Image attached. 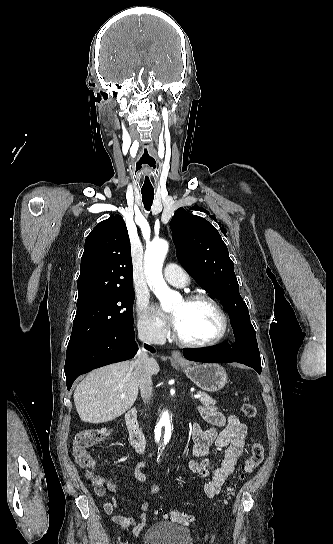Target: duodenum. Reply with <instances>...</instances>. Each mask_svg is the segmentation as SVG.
Listing matches in <instances>:
<instances>
[{"label": "duodenum", "mask_w": 333, "mask_h": 544, "mask_svg": "<svg viewBox=\"0 0 333 544\" xmlns=\"http://www.w3.org/2000/svg\"><path fill=\"white\" fill-rule=\"evenodd\" d=\"M125 421L131 446L136 452L144 453L147 449V439L139 426L135 408L127 411Z\"/></svg>", "instance_id": "410a0bca"}]
</instances>
